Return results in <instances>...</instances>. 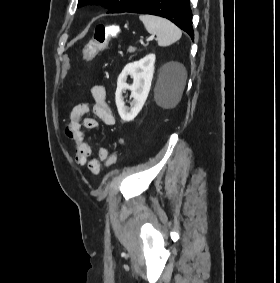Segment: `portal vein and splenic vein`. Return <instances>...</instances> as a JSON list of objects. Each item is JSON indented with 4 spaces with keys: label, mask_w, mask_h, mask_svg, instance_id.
Masks as SVG:
<instances>
[{
    "label": "portal vein and splenic vein",
    "mask_w": 280,
    "mask_h": 283,
    "mask_svg": "<svg viewBox=\"0 0 280 283\" xmlns=\"http://www.w3.org/2000/svg\"><path fill=\"white\" fill-rule=\"evenodd\" d=\"M154 39V37L153 36H150L148 39H147V41H150V40H153Z\"/></svg>",
    "instance_id": "portal-vein-and-splenic-vein-1"
}]
</instances>
